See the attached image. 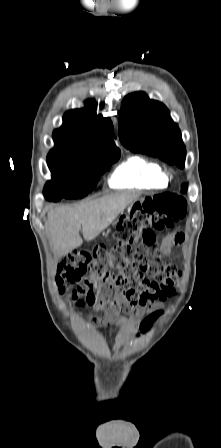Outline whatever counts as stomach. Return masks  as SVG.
Here are the masks:
<instances>
[{
	"label": "stomach",
	"instance_id": "obj_1",
	"mask_svg": "<svg viewBox=\"0 0 221 448\" xmlns=\"http://www.w3.org/2000/svg\"><path fill=\"white\" fill-rule=\"evenodd\" d=\"M137 202L132 203L128 208V213L130 214L133 211V208L137 205Z\"/></svg>",
	"mask_w": 221,
	"mask_h": 448
}]
</instances>
